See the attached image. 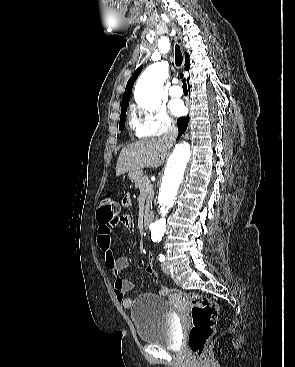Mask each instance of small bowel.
Returning <instances> with one entry per match:
<instances>
[{
	"label": "small bowel",
	"mask_w": 295,
	"mask_h": 367,
	"mask_svg": "<svg viewBox=\"0 0 295 367\" xmlns=\"http://www.w3.org/2000/svg\"><path fill=\"white\" fill-rule=\"evenodd\" d=\"M122 204L129 206L131 199L129 195L124 196ZM99 222L97 229V244L104 255L105 267L114 275L113 291L124 308H129L132 305V300L126 296V293L134 289L135 282L131 279L121 276V272L129 268V261L126 257H115L112 249L111 234L113 229L121 224L127 229L132 227V219L129 215L124 214L115 219L103 223Z\"/></svg>",
	"instance_id": "small-bowel-1"
}]
</instances>
